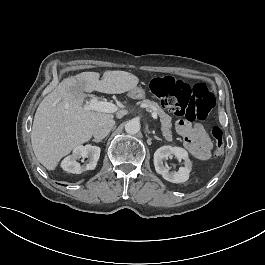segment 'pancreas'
<instances>
[{"mask_svg": "<svg viewBox=\"0 0 265 265\" xmlns=\"http://www.w3.org/2000/svg\"><path fill=\"white\" fill-rule=\"evenodd\" d=\"M137 104H145L147 111L154 110L157 113V115L160 117L161 131L163 136L167 141H172L171 117L166 114L163 109L154 101L144 99L143 101H140Z\"/></svg>", "mask_w": 265, "mask_h": 265, "instance_id": "obj_1", "label": "pancreas"}]
</instances>
